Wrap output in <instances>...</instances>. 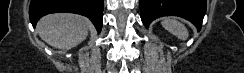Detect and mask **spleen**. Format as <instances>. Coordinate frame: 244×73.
<instances>
[{"label":"spleen","instance_id":"3e777b00","mask_svg":"<svg viewBox=\"0 0 244 73\" xmlns=\"http://www.w3.org/2000/svg\"><path fill=\"white\" fill-rule=\"evenodd\" d=\"M162 26L172 33L173 35L177 36L181 40H186L188 38V30L184 24L177 21L173 18H165L161 22Z\"/></svg>","mask_w":244,"mask_h":73}]
</instances>
